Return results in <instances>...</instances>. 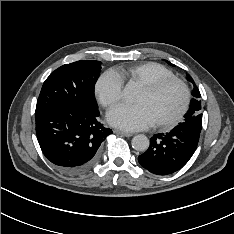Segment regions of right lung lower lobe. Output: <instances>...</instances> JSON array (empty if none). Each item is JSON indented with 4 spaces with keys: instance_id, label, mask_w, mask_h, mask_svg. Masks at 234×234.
<instances>
[{
    "instance_id": "obj_1",
    "label": "right lung lower lobe",
    "mask_w": 234,
    "mask_h": 234,
    "mask_svg": "<svg viewBox=\"0 0 234 234\" xmlns=\"http://www.w3.org/2000/svg\"><path fill=\"white\" fill-rule=\"evenodd\" d=\"M99 111L58 105L35 112L36 134L46 158L70 175L88 171L112 130L97 121Z\"/></svg>"
}]
</instances>
